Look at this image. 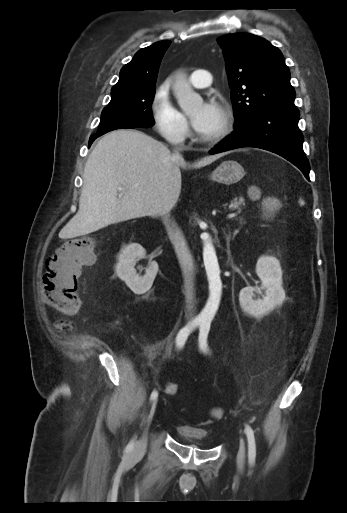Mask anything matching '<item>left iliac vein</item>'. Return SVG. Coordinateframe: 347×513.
Masks as SVG:
<instances>
[{
  "mask_svg": "<svg viewBox=\"0 0 347 513\" xmlns=\"http://www.w3.org/2000/svg\"><path fill=\"white\" fill-rule=\"evenodd\" d=\"M245 462V442L243 438L240 439L239 451L237 454V465L240 469L243 468Z\"/></svg>",
  "mask_w": 347,
  "mask_h": 513,
  "instance_id": "1",
  "label": "left iliac vein"
}]
</instances>
